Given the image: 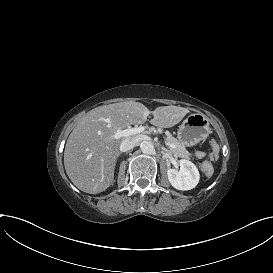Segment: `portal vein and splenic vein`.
<instances>
[{
	"instance_id": "1",
	"label": "portal vein and splenic vein",
	"mask_w": 273,
	"mask_h": 273,
	"mask_svg": "<svg viewBox=\"0 0 273 273\" xmlns=\"http://www.w3.org/2000/svg\"><path fill=\"white\" fill-rule=\"evenodd\" d=\"M142 131H144V127L143 126H139L137 128H130V129H125V130H117V132L114 135L115 139H119L121 137H128L134 134H138L141 133ZM165 145L170 146L171 150L175 149V146L171 143L165 142Z\"/></svg>"
}]
</instances>
